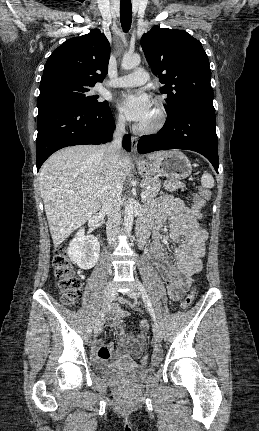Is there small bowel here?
I'll return each instance as SVG.
<instances>
[{"label":"small bowel","instance_id":"obj_1","mask_svg":"<svg viewBox=\"0 0 259 431\" xmlns=\"http://www.w3.org/2000/svg\"><path fill=\"white\" fill-rule=\"evenodd\" d=\"M156 218L154 240L151 245L153 264L161 274L172 301L180 300L188 291L195 277L201 272L202 258L205 254L207 232L193 217L192 208L170 195L158 199L154 207ZM169 228L170 240L165 238ZM112 325L117 330L118 348L114 344H104L96 340L94 348L99 362L112 358L128 362L130 358H139L146 346L149 323L146 319L139 322L140 332L134 337L125 330L123 318L129 316L127 311L115 308Z\"/></svg>","mask_w":259,"mask_h":431}]
</instances>
